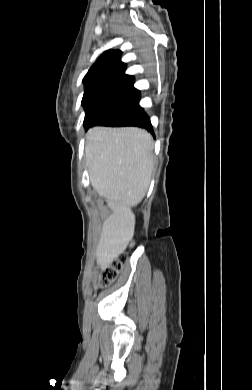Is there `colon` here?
I'll return each mask as SVG.
<instances>
[{"instance_id": "1", "label": "colon", "mask_w": 252, "mask_h": 390, "mask_svg": "<svg viewBox=\"0 0 252 390\" xmlns=\"http://www.w3.org/2000/svg\"><path fill=\"white\" fill-rule=\"evenodd\" d=\"M126 261V254H121L115 259H113L108 265H106L101 272L99 280L100 284L106 286L112 283L122 270Z\"/></svg>"}]
</instances>
